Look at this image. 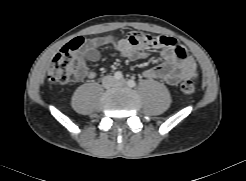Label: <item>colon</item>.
<instances>
[{"label": "colon", "instance_id": "1", "mask_svg": "<svg viewBox=\"0 0 246 181\" xmlns=\"http://www.w3.org/2000/svg\"><path fill=\"white\" fill-rule=\"evenodd\" d=\"M158 37L152 35L137 33L132 37V42L150 43L156 41ZM83 44V38L77 37L69 44L64 46L52 59L47 72L48 80L57 85L65 84L70 80L78 79L82 76V60L75 55V51ZM181 91L185 95H192L195 92V84L191 79H186L181 82Z\"/></svg>", "mask_w": 246, "mask_h": 181}]
</instances>
